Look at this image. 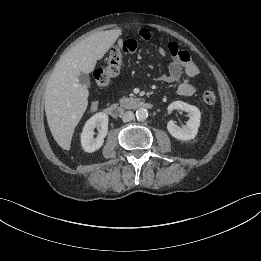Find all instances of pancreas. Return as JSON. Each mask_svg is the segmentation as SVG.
I'll return each instance as SVG.
<instances>
[{"label": "pancreas", "instance_id": "pancreas-1", "mask_svg": "<svg viewBox=\"0 0 261 261\" xmlns=\"http://www.w3.org/2000/svg\"><path fill=\"white\" fill-rule=\"evenodd\" d=\"M129 100H130V98L123 97L122 99H120V104L124 105V104H126Z\"/></svg>", "mask_w": 261, "mask_h": 261}]
</instances>
